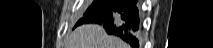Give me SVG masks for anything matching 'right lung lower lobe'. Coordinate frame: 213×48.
I'll return each mask as SVG.
<instances>
[{"label":"right lung lower lobe","mask_w":213,"mask_h":48,"mask_svg":"<svg viewBox=\"0 0 213 48\" xmlns=\"http://www.w3.org/2000/svg\"><path fill=\"white\" fill-rule=\"evenodd\" d=\"M137 0H94L85 12V18L78 24L98 23L106 32L116 35L129 43L138 46L136 30L138 29Z\"/></svg>","instance_id":"right-lung-lower-lobe-1"}]
</instances>
